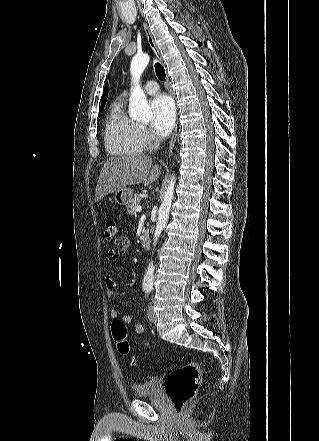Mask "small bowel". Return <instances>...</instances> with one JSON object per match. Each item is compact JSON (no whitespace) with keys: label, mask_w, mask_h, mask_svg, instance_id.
<instances>
[{"label":"small bowel","mask_w":319,"mask_h":441,"mask_svg":"<svg viewBox=\"0 0 319 441\" xmlns=\"http://www.w3.org/2000/svg\"><path fill=\"white\" fill-rule=\"evenodd\" d=\"M128 247H129L128 239L124 238V237L120 238L117 241L115 248H112L107 252L108 261L115 262L119 258L120 254L125 252L128 249ZM105 286H106L107 297L113 298L114 297V288L116 286L114 279L110 276H107L105 278ZM110 317L114 320L117 319L118 318V311L116 309H112L110 311ZM122 320L125 323H133V329L136 334L143 333V331H144L143 325L140 322L135 321L131 315H128V314L124 315L122 317Z\"/></svg>","instance_id":"c3829d8e"}]
</instances>
